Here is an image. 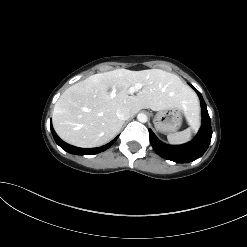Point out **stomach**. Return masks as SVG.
<instances>
[{"mask_svg": "<svg viewBox=\"0 0 247 247\" xmlns=\"http://www.w3.org/2000/svg\"><path fill=\"white\" fill-rule=\"evenodd\" d=\"M182 124V113L177 108H169L156 113L155 128L162 133L176 132Z\"/></svg>", "mask_w": 247, "mask_h": 247, "instance_id": "0dacf381", "label": "stomach"}]
</instances>
